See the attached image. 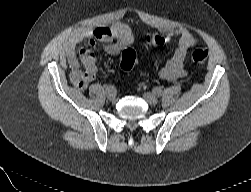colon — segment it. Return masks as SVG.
<instances>
[{"mask_svg":"<svg viewBox=\"0 0 251 192\" xmlns=\"http://www.w3.org/2000/svg\"><path fill=\"white\" fill-rule=\"evenodd\" d=\"M165 42L164 37L159 33H153L147 37L150 46L158 47ZM208 58V51L204 48H197L191 54V60L197 65L205 63ZM137 62L136 53L131 49H125L120 57V65L124 70L131 69Z\"/></svg>","mask_w":251,"mask_h":192,"instance_id":"colon-1","label":"colon"}]
</instances>
